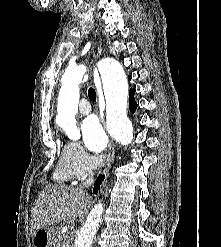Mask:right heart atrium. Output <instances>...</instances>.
<instances>
[{
    "label": "right heart atrium",
    "instance_id": "1",
    "mask_svg": "<svg viewBox=\"0 0 221 247\" xmlns=\"http://www.w3.org/2000/svg\"><path fill=\"white\" fill-rule=\"evenodd\" d=\"M61 157L65 169L72 178L83 177L92 169L91 157L77 142H67L63 147Z\"/></svg>",
    "mask_w": 221,
    "mask_h": 247
}]
</instances>
